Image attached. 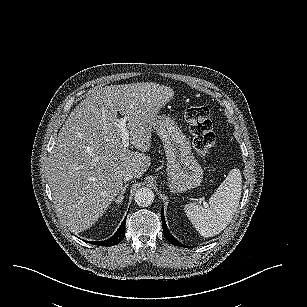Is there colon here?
Segmentation results:
<instances>
[{"instance_id":"colon-1","label":"colon","mask_w":307,"mask_h":307,"mask_svg":"<svg viewBox=\"0 0 307 307\" xmlns=\"http://www.w3.org/2000/svg\"><path fill=\"white\" fill-rule=\"evenodd\" d=\"M185 118L193 137L194 150L201 157L207 156L215 143L209 108L205 105L190 106L186 110Z\"/></svg>"}]
</instances>
